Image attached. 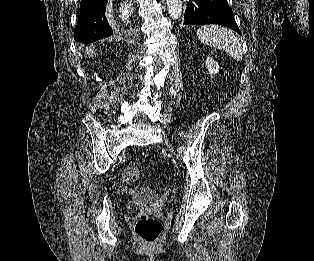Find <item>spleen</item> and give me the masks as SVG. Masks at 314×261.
Instances as JSON below:
<instances>
[{
    "instance_id": "spleen-1",
    "label": "spleen",
    "mask_w": 314,
    "mask_h": 261,
    "mask_svg": "<svg viewBox=\"0 0 314 261\" xmlns=\"http://www.w3.org/2000/svg\"><path fill=\"white\" fill-rule=\"evenodd\" d=\"M196 34L205 45L223 50L237 61L242 60V43L233 31L218 25H204L198 28Z\"/></svg>"
}]
</instances>
